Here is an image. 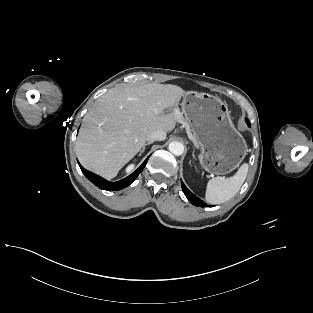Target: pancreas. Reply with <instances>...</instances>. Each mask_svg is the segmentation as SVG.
<instances>
[{
    "label": "pancreas",
    "mask_w": 313,
    "mask_h": 313,
    "mask_svg": "<svg viewBox=\"0 0 313 313\" xmlns=\"http://www.w3.org/2000/svg\"><path fill=\"white\" fill-rule=\"evenodd\" d=\"M182 122L185 124L186 129H187V132H188L190 138L193 139L194 143L196 144V139H195V137L192 135V133L190 132V128H189L188 124H187L184 120H183Z\"/></svg>",
    "instance_id": "cf45deb5"
}]
</instances>
